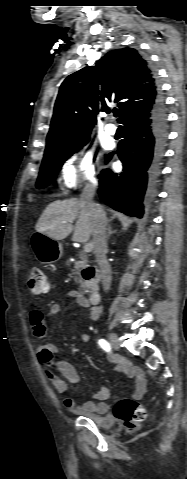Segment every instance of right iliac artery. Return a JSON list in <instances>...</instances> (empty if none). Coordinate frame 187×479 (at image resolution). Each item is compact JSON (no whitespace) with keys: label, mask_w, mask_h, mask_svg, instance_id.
Instances as JSON below:
<instances>
[{"label":"right iliac artery","mask_w":187,"mask_h":479,"mask_svg":"<svg viewBox=\"0 0 187 479\" xmlns=\"http://www.w3.org/2000/svg\"><path fill=\"white\" fill-rule=\"evenodd\" d=\"M98 344L101 346L102 349H104L106 352H110L111 351V346L110 344L104 340V339H100L98 341Z\"/></svg>","instance_id":"82829eb1"}]
</instances>
